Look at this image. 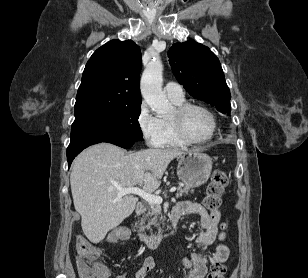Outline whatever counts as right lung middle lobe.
Here are the masks:
<instances>
[{
    "mask_svg": "<svg viewBox=\"0 0 308 278\" xmlns=\"http://www.w3.org/2000/svg\"><path fill=\"white\" fill-rule=\"evenodd\" d=\"M140 112V105H136L75 115L71 127V141L86 138L141 140L143 136L138 123Z\"/></svg>",
    "mask_w": 308,
    "mask_h": 278,
    "instance_id": "right-lung-middle-lobe-1",
    "label": "right lung middle lobe"
}]
</instances>
